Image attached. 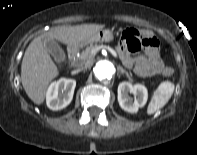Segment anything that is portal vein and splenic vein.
Here are the masks:
<instances>
[{"label": "portal vein and splenic vein", "mask_w": 197, "mask_h": 155, "mask_svg": "<svg viewBox=\"0 0 197 155\" xmlns=\"http://www.w3.org/2000/svg\"><path fill=\"white\" fill-rule=\"evenodd\" d=\"M108 49V51L114 56V57H117V54H116V52L112 49V48H107Z\"/></svg>", "instance_id": "1"}]
</instances>
